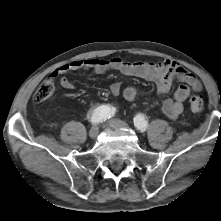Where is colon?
Wrapping results in <instances>:
<instances>
[{"label":"colon","mask_w":221,"mask_h":221,"mask_svg":"<svg viewBox=\"0 0 221 221\" xmlns=\"http://www.w3.org/2000/svg\"><path fill=\"white\" fill-rule=\"evenodd\" d=\"M55 91V80L52 78L45 79L35 90L33 101L41 103L49 99ZM204 107L203 99L200 96L193 95L190 98V108L193 112H201Z\"/></svg>","instance_id":"5ec220e1"}]
</instances>
